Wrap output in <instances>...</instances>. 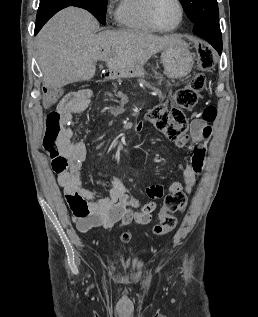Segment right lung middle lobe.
<instances>
[{"instance_id": "obj_1", "label": "right lung middle lobe", "mask_w": 258, "mask_h": 317, "mask_svg": "<svg viewBox=\"0 0 258 317\" xmlns=\"http://www.w3.org/2000/svg\"><path fill=\"white\" fill-rule=\"evenodd\" d=\"M107 1L108 0H88L92 14L103 25L106 24L105 15L107 10Z\"/></svg>"}]
</instances>
